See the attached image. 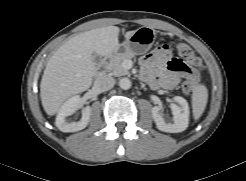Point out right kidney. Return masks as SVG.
Masks as SVG:
<instances>
[{
    "label": "right kidney",
    "instance_id": "right-kidney-1",
    "mask_svg": "<svg viewBox=\"0 0 246 181\" xmlns=\"http://www.w3.org/2000/svg\"><path fill=\"white\" fill-rule=\"evenodd\" d=\"M80 107V96L76 95L68 99L59 109V112L56 117L55 125L62 132H76L80 131L89 123L90 115H91V107L86 106L82 110V118L78 122L68 123L66 121V117L74 114L78 108Z\"/></svg>",
    "mask_w": 246,
    "mask_h": 181
}]
</instances>
